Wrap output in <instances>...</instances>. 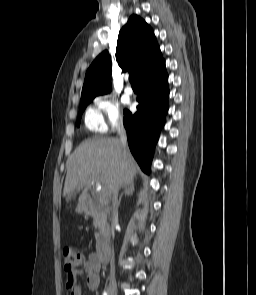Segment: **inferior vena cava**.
<instances>
[{
	"instance_id": "602c4592",
	"label": "inferior vena cava",
	"mask_w": 256,
	"mask_h": 295,
	"mask_svg": "<svg viewBox=\"0 0 256 295\" xmlns=\"http://www.w3.org/2000/svg\"><path fill=\"white\" fill-rule=\"evenodd\" d=\"M116 129L119 134V139H120V143L122 145L123 153L125 154L126 150H127V136H126L125 128L122 123H119ZM118 190H119V184L116 185V187L114 188V191H113V222L117 217ZM112 260H113V256H112ZM111 266L113 268L112 261H111Z\"/></svg>"
}]
</instances>
